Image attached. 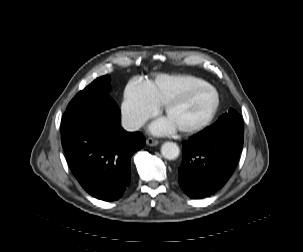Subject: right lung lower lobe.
Segmentation results:
<instances>
[{
  "label": "right lung lower lobe",
  "mask_w": 303,
  "mask_h": 252,
  "mask_svg": "<svg viewBox=\"0 0 303 252\" xmlns=\"http://www.w3.org/2000/svg\"><path fill=\"white\" fill-rule=\"evenodd\" d=\"M61 141L78 182L104 201L122 196L130 183L131 156L145 145L140 132H126L120 126V110L106 98L66 111Z\"/></svg>",
  "instance_id": "obj_1"
}]
</instances>
